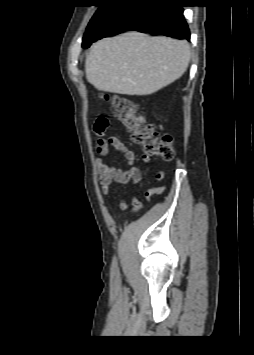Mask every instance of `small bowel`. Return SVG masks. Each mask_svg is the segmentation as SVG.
Masks as SVG:
<instances>
[{"label":"small bowel","instance_id":"c3829d8e","mask_svg":"<svg viewBox=\"0 0 254 355\" xmlns=\"http://www.w3.org/2000/svg\"><path fill=\"white\" fill-rule=\"evenodd\" d=\"M109 121V120H108ZM110 122L108 123L109 127ZM97 131L96 133V153H97V170H98V183L100 184L101 193L103 196H108L110 188L114 183L127 184L133 183L138 184L141 180V171L138 167L133 166L135 160L134 152L129 149L118 137L116 136H105V131ZM113 147L115 150L121 152L125 159L128 168L126 170L111 167L104 163V159L109 154V147ZM143 160L148 162L150 158L148 156H143ZM156 180H162L165 177V172L163 170L156 173ZM161 187L150 188L147 191V196H151L154 193L160 192ZM131 204H136V200L133 198L131 200L123 199L121 200L119 207L122 210L129 208Z\"/></svg>","mask_w":254,"mask_h":355}]
</instances>
